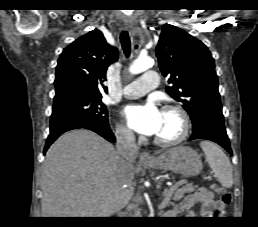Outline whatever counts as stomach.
<instances>
[{"instance_id": "1", "label": "stomach", "mask_w": 258, "mask_h": 227, "mask_svg": "<svg viewBox=\"0 0 258 227\" xmlns=\"http://www.w3.org/2000/svg\"><path fill=\"white\" fill-rule=\"evenodd\" d=\"M146 167L156 170H169L185 176L198 174L203 167L200 155L187 146L173 147L146 164Z\"/></svg>"}]
</instances>
